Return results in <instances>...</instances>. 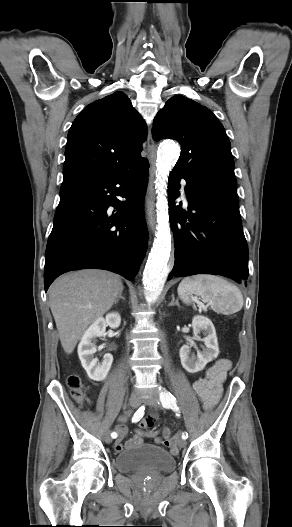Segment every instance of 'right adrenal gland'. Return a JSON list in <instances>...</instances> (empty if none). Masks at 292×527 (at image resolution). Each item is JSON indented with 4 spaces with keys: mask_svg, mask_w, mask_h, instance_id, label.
Here are the masks:
<instances>
[{
    "mask_svg": "<svg viewBox=\"0 0 292 527\" xmlns=\"http://www.w3.org/2000/svg\"><path fill=\"white\" fill-rule=\"evenodd\" d=\"M122 299L123 301H125V298L122 296V293L119 294L118 298L116 299V301L114 302L115 304H117L119 302V300Z\"/></svg>",
    "mask_w": 292,
    "mask_h": 527,
    "instance_id": "obj_1",
    "label": "right adrenal gland"
}]
</instances>
